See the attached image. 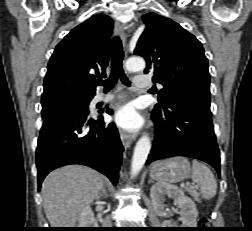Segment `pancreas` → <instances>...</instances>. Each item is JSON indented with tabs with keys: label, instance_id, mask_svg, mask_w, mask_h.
Wrapping results in <instances>:
<instances>
[{
	"label": "pancreas",
	"instance_id": "cf45deb5",
	"mask_svg": "<svg viewBox=\"0 0 252 231\" xmlns=\"http://www.w3.org/2000/svg\"><path fill=\"white\" fill-rule=\"evenodd\" d=\"M190 194H191L192 196H194L196 199L198 198V197H197V193H196L195 191H190Z\"/></svg>",
	"mask_w": 252,
	"mask_h": 231
}]
</instances>
